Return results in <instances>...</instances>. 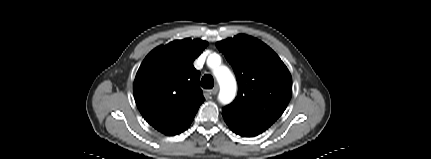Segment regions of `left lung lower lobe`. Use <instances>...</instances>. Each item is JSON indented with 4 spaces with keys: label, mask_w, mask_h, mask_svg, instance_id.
<instances>
[{
    "label": "left lung lower lobe",
    "mask_w": 431,
    "mask_h": 159,
    "mask_svg": "<svg viewBox=\"0 0 431 159\" xmlns=\"http://www.w3.org/2000/svg\"><path fill=\"white\" fill-rule=\"evenodd\" d=\"M227 125L231 128L233 132L243 137H254L263 132L261 130H255V129H240L237 126L230 123H227Z\"/></svg>",
    "instance_id": "obj_1"
}]
</instances>
